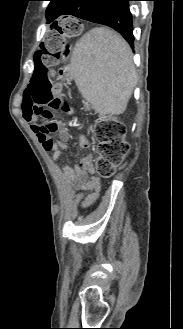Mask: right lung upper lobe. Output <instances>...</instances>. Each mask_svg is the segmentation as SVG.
<instances>
[{
    "label": "right lung upper lobe",
    "instance_id": "cb5924a9",
    "mask_svg": "<svg viewBox=\"0 0 183 329\" xmlns=\"http://www.w3.org/2000/svg\"><path fill=\"white\" fill-rule=\"evenodd\" d=\"M56 1H59V0H50V4H49L48 8L50 6H52ZM48 8H47V11H46V17H47L48 21L50 22L53 19H55V17H54V11H52V10H50Z\"/></svg>",
    "mask_w": 183,
    "mask_h": 329
}]
</instances>
